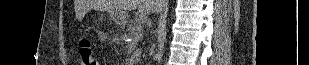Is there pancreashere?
Wrapping results in <instances>:
<instances>
[{
	"instance_id": "cf45deb5",
	"label": "pancreas",
	"mask_w": 309,
	"mask_h": 65,
	"mask_svg": "<svg viewBox=\"0 0 309 65\" xmlns=\"http://www.w3.org/2000/svg\"><path fill=\"white\" fill-rule=\"evenodd\" d=\"M140 25H141V21L138 19L131 21L128 27L129 34H135L139 30Z\"/></svg>"
}]
</instances>
